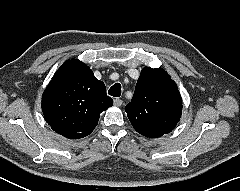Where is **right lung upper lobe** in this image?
<instances>
[{"mask_svg":"<svg viewBox=\"0 0 240 191\" xmlns=\"http://www.w3.org/2000/svg\"><path fill=\"white\" fill-rule=\"evenodd\" d=\"M113 105L102 81L77 59L65 61L56 71L42 96L46 122L58 134L83 138L94 130L100 113Z\"/></svg>","mask_w":240,"mask_h":191,"instance_id":"right-lung-upper-lobe-1","label":"right lung upper lobe"}]
</instances>
